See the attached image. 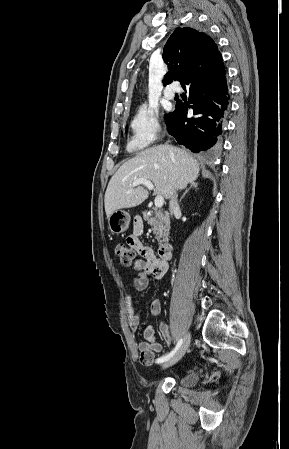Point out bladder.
Returning <instances> with one entry per match:
<instances>
[{"mask_svg":"<svg viewBox=\"0 0 289 449\" xmlns=\"http://www.w3.org/2000/svg\"><path fill=\"white\" fill-rule=\"evenodd\" d=\"M199 377L200 374L198 372H190L179 380V385L183 387L192 386L198 381Z\"/></svg>","mask_w":289,"mask_h":449,"instance_id":"obj_1","label":"bladder"}]
</instances>
